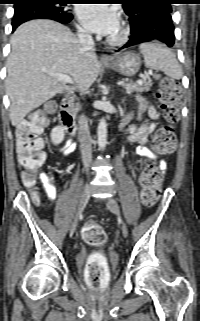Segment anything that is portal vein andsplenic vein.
<instances>
[{"label":"portal vein and splenic vein","instance_id":"1","mask_svg":"<svg viewBox=\"0 0 200 321\" xmlns=\"http://www.w3.org/2000/svg\"><path fill=\"white\" fill-rule=\"evenodd\" d=\"M49 74L52 75L53 77H55V78H56L57 80H59V81H62V82H64V83L73 84V81H72L71 77H69L68 75L61 74V73H51V72H49ZM148 74L151 75V74H152V71L149 70ZM124 83H125L124 81H119V82L117 83V85H120V86H121V85H123ZM137 83H141V81H137Z\"/></svg>","mask_w":200,"mask_h":321}]
</instances>
